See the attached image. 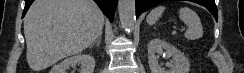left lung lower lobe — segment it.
<instances>
[{
	"mask_svg": "<svg viewBox=\"0 0 244 73\" xmlns=\"http://www.w3.org/2000/svg\"><path fill=\"white\" fill-rule=\"evenodd\" d=\"M165 0H135L136 3V19L139 15L148 9L164 2ZM192 2L198 3L202 6H205L215 17L218 19L217 8L215 5V0H193Z\"/></svg>",
	"mask_w": 244,
	"mask_h": 73,
	"instance_id": "0a47b994",
	"label": "left lung lower lobe"
}]
</instances>
